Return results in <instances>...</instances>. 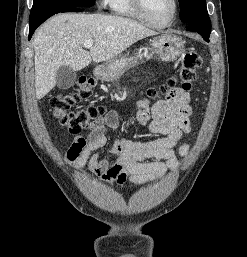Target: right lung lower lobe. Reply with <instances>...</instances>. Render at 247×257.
I'll list each match as a JSON object with an SVG mask.
<instances>
[{"mask_svg": "<svg viewBox=\"0 0 247 257\" xmlns=\"http://www.w3.org/2000/svg\"><path fill=\"white\" fill-rule=\"evenodd\" d=\"M81 8L79 7H71V8H61V9H53L46 11L44 13H41L33 18H30L29 20V40L31 39L35 29L41 25L45 20H47L49 17L56 13L60 12H80Z\"/></svg>", "mask_w": 247, "mask_h": 257, "instance_id": "obj_1", "label": "right lung lower lobe"}]
</instances>
